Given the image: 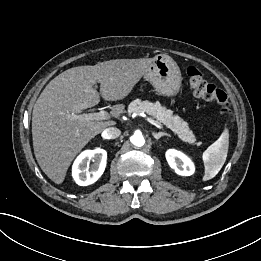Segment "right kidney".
<instances>
[{
	"label": "right kidney",
	"instance_id": "obj_1",
	"mask_svg": "<svg viewBox=\"0 0 261 261\" xmlns=\"http://www.w3.org/2000/svg\"><path fill=\"white\" fill-rule=\"evenodd\" d=\"M93 164L90 165V161ZM107 161V152L104 149L83 151L74 161L72 176L80 186H88L96 182L103 174Z\"/></svg>",
	"mask_w": 261,
	"mask_h": 261
}]
</instances>
